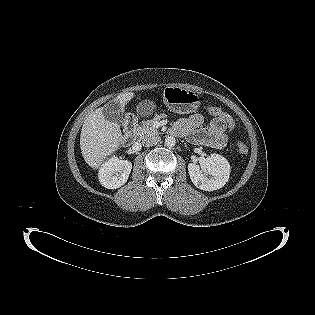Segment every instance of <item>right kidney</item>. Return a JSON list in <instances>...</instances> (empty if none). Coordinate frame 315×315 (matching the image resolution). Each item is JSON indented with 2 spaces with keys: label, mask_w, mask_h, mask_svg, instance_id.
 Wrapping results in <instances>:
<instances>
[{
  "label": "right kidney",
  "mask_w": 315,
  "mask_h": 315,
  "mask_svg": "<svg viewBox=\"0 0 315 315\" xmlns=\"http://www.w3.org/2000/svg\"><path fill=\"white\" fill-rule=\"evenodd\" d=\"M132 163L112 157L99 170V181L107 189H117L123 186L129 177Z\"/></svg>",
  "instance_id": "right-kidney-1"
}]
</instances>
